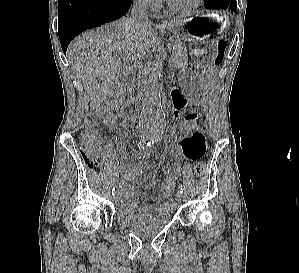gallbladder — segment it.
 <instances>
[{
  "label": "gallbladder",
  "mask_w": 299,
  "mask_h": 273,
  "mask_svg": "<svg viewBox=\"0 0 299 273\" xmlns=\"http://www.w3.org/2000/svg\"><path fill=\"white\" fill-rule=\"evenodd\" d=\"M121 74H122V72H119V73H118V76H121Z\"/></svg>",
  "instance_id": "bac80fb5"
}]
</instances>
